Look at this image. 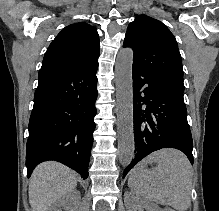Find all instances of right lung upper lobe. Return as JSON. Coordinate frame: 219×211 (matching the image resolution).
<instances>
[{"instance_id":"cb5924a9","label":"right lung upper lobe","mask_w":219,"mask_h":211,"mask_svg":"<svg viewBox=\"0 0 219 211\" xmlns=\"http://www.w3.org/2000/svg\"><path fill=\"white\" fill-rule=\"evenodd\" d=\"M100 41L96 29L78 22L64 28L48 47L41 69L91 67L98 63Z\"/></svg>"}]
</instances>
